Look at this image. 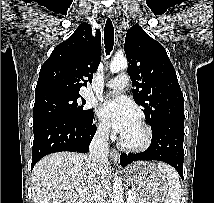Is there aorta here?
I'll return each instance as SVG.
<instances>
[{"label": "aorta", "instance_id": "obj_1", "mask_svg": "<svg viewBox=\"0 0 214 203\" xmlns=\"http://www.w3.org/2000/svg\"><path fill=\"white\" fill-rule=\"evenodd\" d=\"M127 65V59L124 56L117 55L111 61L110 71L111 73H117L121 70L126 69ZM112 203H123L122 180L117 176V173L114 177Z\"/></svg>", "mask_w": 214, "mask_h": 203}]
</instances>
